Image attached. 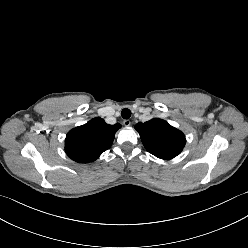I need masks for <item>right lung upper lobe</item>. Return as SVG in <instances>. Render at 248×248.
Masks as SVG:
<instances>
[{"mask_svg": "<svg viewBox=\"0 0 248 248\" xmlns=\"http://www.w3.org/2000/svg\"><path fill=\"white\" fill-rule=\"evenodd\" d=\"M120 124L109 125L101 118H93L86 124L70 130L65 139L67 155L78 163L95 161L109 149Z\"/></svg>", "mask_w": 248, "mask_h": 248, "instance_id": "right-lung-upper-lobe-1", "label": "right lung upper lobe"}]
</instances>
